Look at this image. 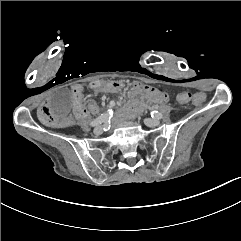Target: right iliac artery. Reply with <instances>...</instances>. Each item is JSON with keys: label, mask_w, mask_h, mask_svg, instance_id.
<instances>
[{"label": "right iliac artery", "mask_w": 241, "mask_h": 241, "mask_svg": "<svg viewBox=\"0 0 241 241\" xmlns=\"http://www.w3.org/2000/svg\"><path fill=\"white\" fill-rule=\"evenodd\" d=\"M112 116H113V111L108 110L107 113L101 114L99 117L94 119L91 122V126H97V125H99L103 122H108L111 119Z\"/></svg>", "instance_id": "1"}]
</instances>
